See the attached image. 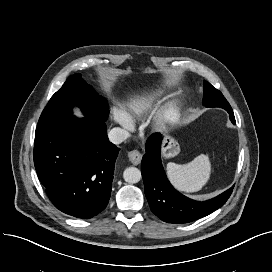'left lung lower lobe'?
I'll return each instance as SVG.
<instances>
[{
    "label": "left lung lower lobe",
    "mask_w": 272,
    "mask_h": 272,
    "mask_svg": "<svg viewBox=\"0 0 272 272\" xmlns=\"http://www.w3.org/2000/svg\"><path fill=\"white\" fill-rule=\"evenodd\" d=\"M226 111L235 124L233 110ZM161 140L160 134H153L148 139L141 163L145 195L151 211L164 222L182 224L205 217L220 208L230 197L233 187L203 202L185 197L173 188L166 177L160 157Z\"/></svg>",
    "instance_id": "1"
}]
</instances>
